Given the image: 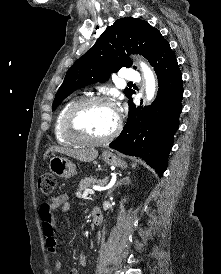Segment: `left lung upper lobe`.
<instances>
[{
    "mask_svg": "<svg viewBox=\"0 0 221 274\" xmlns=\"http://www.w3.org/2000/svg\"><path fill=\"white\" fill-rule=\"evenodd\" d=\"M167 40L148 22L133 18H121L106 28L94 46L81 56L68 70L55 96L52 110L75 90L96 82L107 81L112 72L121 67H131L126 57L139 53L148 61ZM136 68V67H134ZM134 93L126 88L124 94L130 98Z\"/></svg>",
    "mask_w": 221,
    "mask_h": 274,
    "instance_id": "5c2ea615",
    "label": "left lung upper lobe"
}]
</instances>
